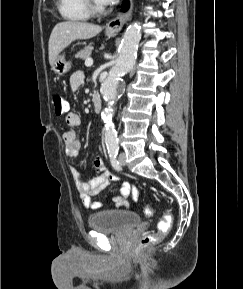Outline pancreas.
<instances>
[{"label": "pancreas", "instance_id": "obj_1", "mask_svg": "<svg viewBox=\"0 0 243 289\" xmlns=\"http://www.w3.org/2000/svg\"><path fill=\"white\" fill-rule=\"evenodd\" d=\"M92 46L88 45L84 49L80 50L79 52L76 53L75 57L78 59H87L91 56L92 54Z\"/></svg>", "mask_w": 243, "mask_h": 289}]
</instances>
